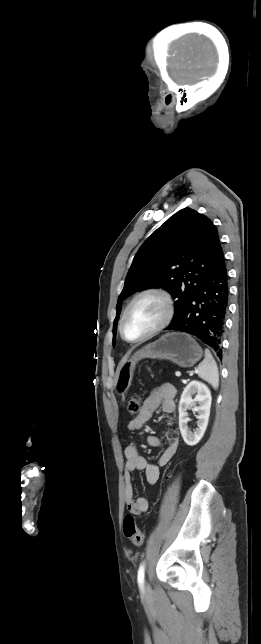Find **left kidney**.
Masks as SVG:
<instances>
[{"mask_svg": "<svg viewBox=\"0 0 261 644\" xmlns=\"http://www.w3.org/2000/svg\"><path fill=\"white\" fill-rule=\"evenodd\" d=\"M196 394V395H195ZM195 398L192 399V396ZM211 392L209 388L202 382L191 381L183 390L179 402V429L184 442L189 446L196 445L203 437L208 425L210 408H211ZM198 403L199 406H196ZM193 406L195 411L198 412L197 428L194 432L188 429L187 423V409Z\"/></svg>", "mask_w": 261, "mask_h": 644, "instance_id": "1", "label": "left kidney"}]
</instances>
